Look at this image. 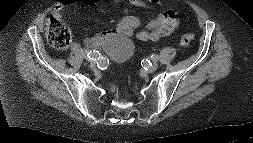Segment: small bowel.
Returning <instances> with one entry per match:
<instances>
[{"label": "small bowel", "instance_id": "1", "mask_svg": "<svg viewBox=\"0 0 253 143\" xmlns=\"http://www.w3.org/2000/svg\"><path fill=\"white\" fill-rule=\"evenodd\" d=\"M100 0H62L54 9V15L59 16L61 9L65 5L73 3H83L94 5ZM118 2H128L136 7H146L149 3H159L160 0H116ZM179 26V20L176 13L172 10H164L159 16L143 25L136 16H125L120 20L117 26L108 31L100 32L85 38L84 44L89 47H106L118 36H132L136 32V37L141 41H156L169 35ZM124 54L122 58H126Z\"/></svg>", "mask_w": 253, "mask_h": 143}]
</instances>
